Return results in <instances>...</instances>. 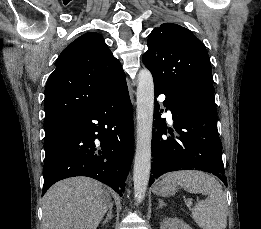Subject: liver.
I'll return each instance as SVG.
<instances>
[{"label": "liver", "instance_id": "6515ba94", "mask_svg": "<svg viewBox=\"0 0 261 229\" xmlns=\"http://www.w3.org/2000/svg\"><path fill=\"white\" fill-rule=\"evenodd\" d=\"M43 201L41 229H97L111 205L102 183L89 177L55 183Z\"/></svg>", "mask_w": 261, "mask_h": 229}]
</instances>
